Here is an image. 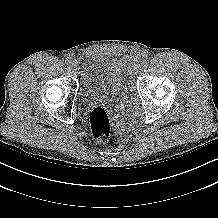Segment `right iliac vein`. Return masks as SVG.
Instances as JSON below:
<instances>
[{
	"label": "right iliac vein",
	"mask_w": 218,
	"mask_h": 218,
	"mask_svg": "<svg viewBox=\"0 0 218 218\" xmlns=\"http://www.w3.org/2000/svg\"><path fill=\"white\" fill-rule=\"evenodd\" d=\"M70 66L73 71L76 72L78 70V62L76 60H72V63L70 64Z\"/></svg>",
	"instance_id": "obj_1"
}]
</instances>
